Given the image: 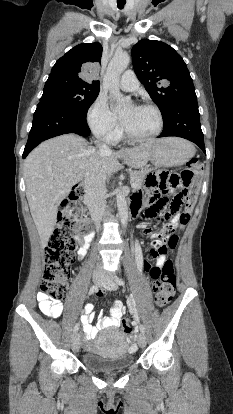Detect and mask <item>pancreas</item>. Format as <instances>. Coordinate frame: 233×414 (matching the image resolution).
Wrapping results in <instances>:
<instances>
[{"mask_svg": "<svg viewBox=\"0 0 233 414\" xmlns=\"http://www.w3.org/2000/svg\"><path fill=\"white\" fill-rule=\"evenodd\" d=\"M148 170H141V171H131V183L134 184L133 188L137 189L142 186L143 180L145 175L147 174Z\"/></svg>", "mask_w": 233, "mask_h": 414, "instance_id": "cf45deb5", "label": "pancreas"}]
</instances>
